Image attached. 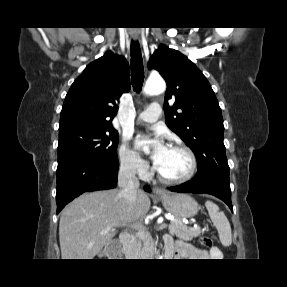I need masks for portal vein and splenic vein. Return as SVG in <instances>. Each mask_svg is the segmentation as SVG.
<instances>
[{
    "label": "portal vein and splenic vein",
    "instance_id": "18ae733b",
    "mask_svg": "<svg viewBox=\"0 0 287 287\" xmlns=\"http://www.w3.org/2000/svg\"><path fill=\"white\" fill-rule=\"evenodd\" d=\"M166 218H167L168 220L175 221V219L172 218L171 216H167ZM112 226H115V224H112V225L108 226L107 229H106V231L110 230ZM141 230H142V228H141Z\"/></svg>",
    "mask_w": 287,
    "mask_h": 287
}]
</instances>
